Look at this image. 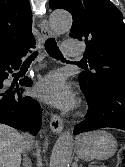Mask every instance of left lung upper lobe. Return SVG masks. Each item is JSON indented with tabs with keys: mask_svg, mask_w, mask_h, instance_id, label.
<instances>
[{
	"mask_svg": "<svg viewBox=\"0 0 125 167\" xmlns=\"http://www.w3.org/2000/svg\"><path fill=\"white\" fill-rule=\"evenodd\" d=\"M73 17L70 37L86 42L85 70L79 75L85 95L92 97L105 85H125V24L110 0H50Z\"/></svg>",
	"mask_w": 125,
	"mask_h": 167,
	"instance_id": "5c2ea615",
	"label": "left lung upper lobe"
}]
</instances>
